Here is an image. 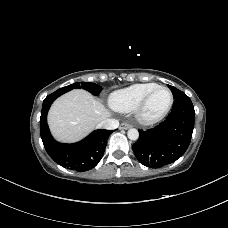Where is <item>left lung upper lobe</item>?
<instances>
[{"instance_id":"1","label":"left lung upper lobe","mask_w":228,"mask_h":228,"mask_svg":"<svg viewBox=\"0 0 228 228\" xmlns=\"http://www.w3.org/2000/svg\"><path fill=\"white\" fill-rule=\"evenodd\" d=\"M168 87L171 89L174 99H176V98L180 97L181 95L185 94V93H183L182 91L176 89L173 86L168 85Z\"/></svg>"}]
</instances>
